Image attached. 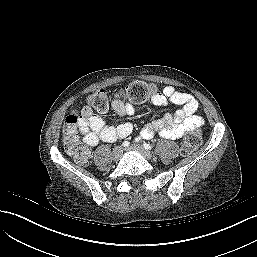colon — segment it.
<instances>
[{"label":"colon","instance_id":"1","mask_svg":"<svg viewBox=\"0 0 257 257\" xmlns=\"http://www.w3.org/2000/svg\"><path fill=\"white\" fill-rule=\"evenodd\" d=\"M123 98L133 102H144L153 98L157 94L156 86L152 83L134 81L122 89ZM86 108L92 112L100 114L106 113L109 108V94L105 89H99L91 94L86 102ZM80 115L72 112L65 120V146L69 156L77 163H86L89 158V150L80 141L78 135V125ZM202 136L199 129L189 133L182 145L181 153L189 155L193 153L201 144Z\"/></svg>","mask_w":257,"mask_h":257}]
</instances>
